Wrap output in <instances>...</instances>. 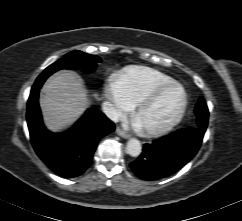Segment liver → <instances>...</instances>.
I'll use <instances>...</instances> for the list:
<instances>
[{
    "label": "liver",
    "instance_id": "liver-1",
    "mask_svg": "<svg viewBox=\"0 0 242 221\" xmlns=\"http://www.w3.org/2000/svg\"><path fill=\"white\" fill-rule=\"evenodd\" d=\"M42 92L40 107L45 125L52 132L70 127L90 104L82 79L73 72L49 77Z\"/></svg>",
    "mask_w": 242,
    "mask_h": 221
}]
</instances>
